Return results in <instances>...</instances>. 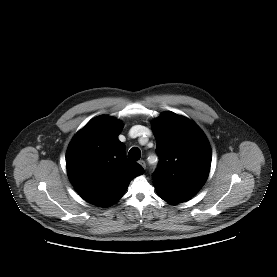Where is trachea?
<instances>
[{
  "mask_svg": "<svg viewBox=\"0 0 277 277\" xmlns=\"http://www.w3.org/2000/svg\"><path fill=\"white\" fill-rule=\"evenodd\" d=\"M140 157H141V151L139 148L133 147L132 149H130L128 153V158L130 160L137 161L140 159Z\"/></svg>",
  "mask_w": 277,
  "mask_h": 277,
  "instance_id": "obj_1",
  "label": "trachea"
}]
</instances>
